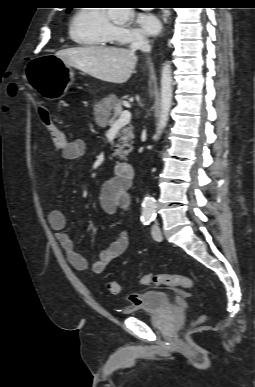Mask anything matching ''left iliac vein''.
<instances>
[{"label":"left iliac vein","instance_id":"4c4485c4","mask_svg":"<svg viewBox=\"0 0 255 387\" xmlns=\"http://www.w3.org/2000/svg\"><path fill=\"white\" fill-rule=\"evenodd\" d=\"M152 237L156 241H162V233L157 225H153L151 228Z\"/></svg>","mask_w":255,"mask_h":387}]
</instances>
